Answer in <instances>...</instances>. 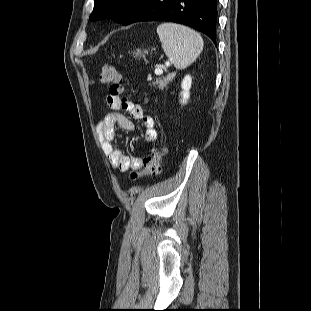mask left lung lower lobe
Instances as JSON below:
<instances>
[{
	"instance_id": "left-lung-lower-lobe-1",
	"label": "left lung lower lobe",
	"mask_w": 311,
	"mask_h": 311,
	"mask_svg": "<svg viewBox=\"0 0 311 311\" xmlns=\"http://www.w3.org/2000/svg\"><path fill=\"white\" fill-rule=\"evenodd\" d=\"M170 21L194 28L216 43L217 0H138L121 22Z\"/></svg>"
}]
</instances>
